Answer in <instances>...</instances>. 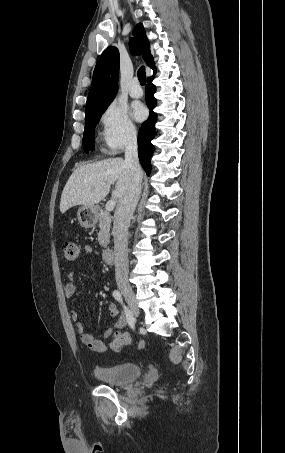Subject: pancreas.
I'll return each mask as SVG.
<instances>
[{"instance_id":"obj_1","label":"pancreas","mask_w":285,"mask_h":453,"mask_svg":"<svg viewBox=\"0 0 285 453\" xmlns=\"http://www.w3.org/2000/svg\"><path fill=\"white\" fill-rule=\"evenodd\" d=\"M112 218L110 214L106 211L101 210L98 214V226L100 232L98 234V242L102 247H107L110 241V228H111Z\"/></svg>"}]
</instances>
